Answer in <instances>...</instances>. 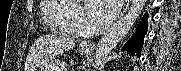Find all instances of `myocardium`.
Returning a JSON list of instances; mask_svg holds the SVG:
<instances>
[{
  "mask_svg": "<svg viewBox=\"0 0 181 71\" xmlns=\"http://www.w3.org/2000/svg\"><path fill=\"white\" fill-rule=\"evenodd\" d=\"M88 29H93L92 27H88Z\"/></svg>",
  "mask_w": 181,
  "mask_h": 71,
  "instance_id": "f54148a6",
  "label": "myocardium"
}]
</instances>
